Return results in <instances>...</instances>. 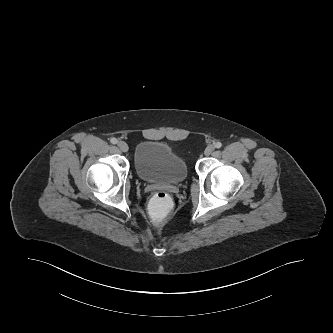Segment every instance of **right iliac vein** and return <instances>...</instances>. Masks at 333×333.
I'll return each instance as SVG.
<instances>
[{
	"label": "right iliac vein",
	"instance_id": "63e3f726",
	"mask_svg": "<svg viewBox=\"0 0 333 333\" xmlns=\"http://www.w3.org/2000/svg\"><path fill=\"white\" fill-rule=\"evenodd\" d=\"M117 146H118V148H119L122 152H127L128 149H129L127 143L124 142V141H119V142L117 143Z\"/></svg>",
	"mask_w": 333,
	"mask_h": 333
}]
</instances>
